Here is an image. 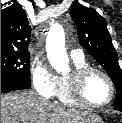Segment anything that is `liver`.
<instances>
[{"label": "liver", "instance_id": "liver-1", "mask_svg": "<svg viewBox=\"0 0 122 123\" xmlns=\"http://www.w3.org/2000/svg\"><path fill=\"white\" fill-rule=\"evenodd\" d=\"M92 115L54 104L32 91L1 95V123H82Z\"/></svg>", "mask_w": 122, "mask_h": 123}]
</instances>
